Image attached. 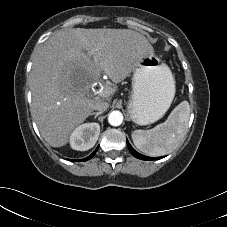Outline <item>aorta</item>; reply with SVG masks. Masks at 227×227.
I'll return each instance as SVG.
<instances>
[{
	"label": "aorta",
	"mask_w": 227,
	"mask_h": 227,
	"mask_svg": "<svg viewBox=\"0 0 227 227\" xmlns=\"http://www.w3.org/2000/svg\"><path fill=\"white\" fill-rule=\"evenodd\" d=\"M108 122L112 126H119L123 122V114L120 111H112L108 116Z\"/></svg>",
	"instance_id": "1"
}]
</instances>
